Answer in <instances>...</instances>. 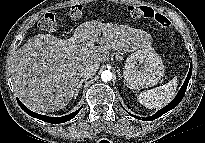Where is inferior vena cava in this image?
<instances>
[{
    "label": "inferior vena cava",
    "instance_id": "obj_1",
    "mask_svg": "<svg viewBox=\"0 0 205 143\" xmlns=\"http://www.w3.org/2000/svg\"><path fill=\"white\" fill-rule=\"evenodd\" d=\"M99 65L96 63L87 64L84 68L81 69L80 76L85 79L91 78L97 72Z\"/></svg>",
    "mask_w": 205,
    "mask_h": 143
}]
</instances>
